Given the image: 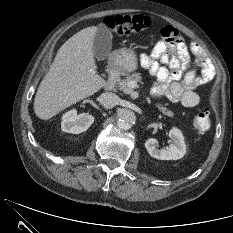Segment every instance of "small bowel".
I'll use <instances>...</instances> for the list:
<instances>
[{
	"mask_svg": "<svg viewBox=\"0 0 233 233\" xmlns=\"http://www.w3.org/2000/svg\"><path fill=\"white\" fill-rule=\"evenodd\" d=\"M161 35L153 50L140 56L143 67L155 78L153 95L186 107L197 106L200 96L196 89L213 79V64L200 45L187 44L174 27H164Z\"/></svg>",
	"mask_w": 233,
	"mask_h": 233,
	"instance_id": "1",
	"label": "small bowel"
}]
</instances>
